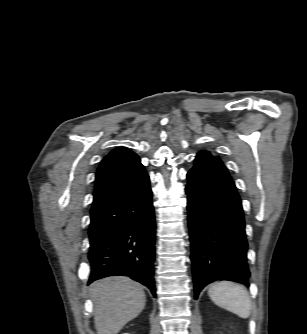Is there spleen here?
<instances>
[{
    "instance_id": "spleen-1",
    "label": "spleen",
    "mask_w": 307,
    "mask_h": 334,
    "mask_svg": "<svg viewBox=\"0 0 307 334\" xmlns=\"http://www.w3.org/2000/svg\"><path fill=\"white\" fill-rule=\"evenodd\" d=\"M208 295L219 307L224 308L241 318H248L251 313V300L247 290L230 281H219L213 283Z\"/></svg>"
}]
</instances>
